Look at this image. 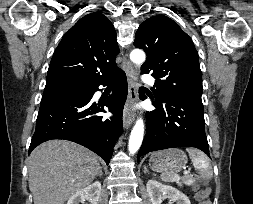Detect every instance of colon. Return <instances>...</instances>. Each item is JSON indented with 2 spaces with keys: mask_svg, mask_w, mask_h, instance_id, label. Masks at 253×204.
<instances>
[{
  "mask_svg": "<svg viewBox=\"0 0 253 204\" xmlns=\"http://www.w3.org/2000/svg\"><path fill=\"white\" fill-rule=\"evenodd\" d=\"M197 199L199 200L200 204H211L208 198V191L207 190H199L196 194Z\"/></svg>",
  "mask_w": 253,
  "mask_h": 204,
  "instance_id": "colon-1",
  "label": "colon"
}]
</instances>
